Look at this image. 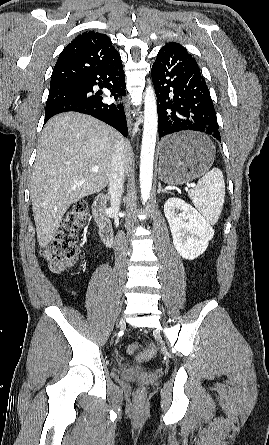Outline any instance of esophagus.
I'll use <instances>...</instances> for the list:
<instances>
[{
  "label": "esophagus",
  "instance_id": "1",
  "mask_svg": "<svg viewBox=\"0 0 269 445\" xmlns=\"http://www.w3.org/2000/svg\"><path fill=\"white\" fill-rule=\"evenodd\" d=\"M125 112H126V117H127L128 128H129V130H131L132 129V119H131V115L129 112V106L127 103H125Z\"/></svg>",
  "mask_w": 269,
  "mask_h": 445
}]
</instances>
